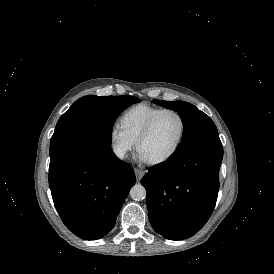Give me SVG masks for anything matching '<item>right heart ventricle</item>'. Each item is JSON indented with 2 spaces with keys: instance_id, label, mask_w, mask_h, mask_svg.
<instances>
[{
  "instance_id": "obj_1",
  "label": "right heart ventricle",
  "mask_w": 274,
  "mask_h": 274,
  "mask_svg": "<svg viewBox=\"0 0 274 274\" xmlns=\"http://www.w3.org/2000/svg\"><path fill=\"white\" fill-rule=\"evenodd\" d=\"M162 109L148 104H138L126 110L119 118L121 128L136 140L147 123Z\"/></svg>"
}]
</instances>
